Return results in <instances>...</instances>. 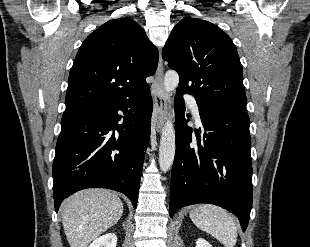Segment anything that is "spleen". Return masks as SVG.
Returning a JSON list of instances; mask_svg holds the SVG:
<instances>
[{
	"mask_svg": "<svg viewBox=\"0 0 310 247\" xmlns=\"http://www.w3.org/2000/svg\"><path fill=\"white\" fill-rule=\"evenodd\" d=\"M190 218L199 229L215 237L224 246H235L237 225L230 213L223 208L201 204L191 210Z\"/></svg>",
	"mask_w": 310,
	"mask_h": 247,
	"instance_id": "1",
	"label": "spleen"
}]
</instances>
